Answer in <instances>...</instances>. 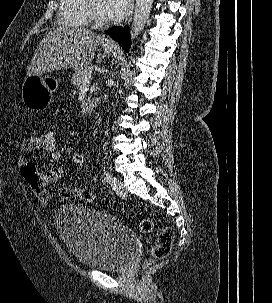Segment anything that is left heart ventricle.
I'll use <instances>...</instances> for the list:
<instances>
[{
	"label": "left heart ventricle",
	"instance_id": "left-heart-ventricle-1",
	"mask_svg": "<svg viewBox=\"0 0 272 303\" xmlns=\"http://www.w3.org/2000/svg\"><path fill=\"white\" fill-rule=\"evenodd\" d=\"M93 6H94L97 14L102 19H105V16H104V13H103L104 0H93Z\"/></svg>",
	"mask_w": 272,
	"mask_h": 303
}]
</instances>
